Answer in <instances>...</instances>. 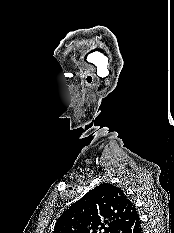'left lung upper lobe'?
Instances as JSON below:
<instances>
[{
    "instance_id": "left-lung-upper-lobe-1",
    "label": "left lung upper lobe",
    "mask_w": 174,
    "mask_h": 233,
    "mask_svg": "<svg viewBox=\"0 0 174 233\" xmlns=\"http://www.w3.org/2000/svg\"><path fill=\"white\" fill-rule=\"evenodd\" d=\"M137 214L124 192L109 183L90 190L57 220L53 233H119Z\"/></svg>"
}]
</instances>
